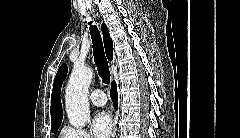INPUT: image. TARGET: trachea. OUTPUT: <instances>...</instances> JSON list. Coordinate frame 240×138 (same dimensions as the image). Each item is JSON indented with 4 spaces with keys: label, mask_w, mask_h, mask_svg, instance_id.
<instances>
[{
    "label": "trachea",
    "mask_w": 240,
    "mask_h": 138,
    "mask_svg": "<svg viewBox=\"0 0 240 138\" xmlns=\"http://www.w3.org/2000/svg\"><path fill=\"white\" fill-rule=\"evenodd\" d=\"M89 30L91 34V39L93 43V55L94 61L99 73L102 82L107 84L110 81V70L105 56L104 47L102 43V38L100 32L96 25H92V22H89Z\"/></svg>",
    "instance_id": "obj_1"
}]
</instances>
